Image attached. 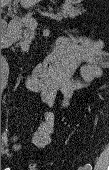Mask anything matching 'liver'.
I'll use <instances>...</instances> for the list:
<instances>
[{
  "label": "liver",
  "instance_id": "obj_1",
  "mask_svg": "<svg viewBox=\"0 0 109 170\" xmlns=\"http://www.w3.org/2000/svg\"><path fill=\"white\" fill-rule=\"evenodd\" d=\"M18 1L21 2L23 7L28 8L30 6L35 5L36 3L40 2L41 0H18ZM4 2L7 3L8 1L4 0Z\"/></svg>",
  "mask_w": 109,
  "mask_h": 170
}]
</instances>
